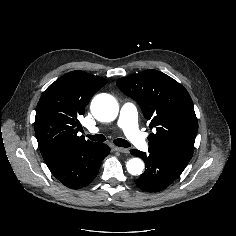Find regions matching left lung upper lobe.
<instances>
[{
    "mask_svg": "<svg viewBox=\"0 0 236 236\" xmlns=\"http://www.w3.org/2000/svg\"><path fill=\"white\" fill-rule=\"evenodd\" d=\"M118 88L141 107L150 128L149 148L187 166L194 151L198 122L187 90L168 75L145 70L117 80Z\"/></svg>",
    "mask_w": 236,
    "mask_h": 236,
    "instance_id": "1",
    "label": "left lung upper lobe"
}]
</instances>
